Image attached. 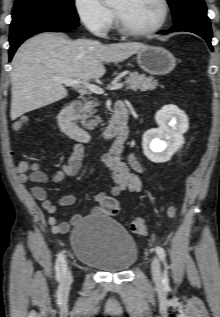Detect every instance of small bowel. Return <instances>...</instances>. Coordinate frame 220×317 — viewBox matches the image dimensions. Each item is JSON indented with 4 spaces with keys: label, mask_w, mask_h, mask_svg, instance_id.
Wrapping results in <instances>:
<instances>
[{
    "label": "small bowel",
    "mask_w": 220,
    "mask_h": 317,
    "mask_svg": "<svg viewBox=\"0 0 220 317\" xmlns=\"http://www.w3.org/2000/svg\"><path fill=\"white\" fill-rule=\"evenodd\" d=\"M123 146H118L113 143V146L104 153L100 160L105 167L106 172L114 180V188L112 196H118L127 191L130 193H139L142 190V182L140 175L144 172V168L137 158L135 153H131L128 161L121 159ZM84 157V145L81 142H76L72 153L66 163H64L53 175L49 176L39 169L37 163H29L22 161L17 166L19 180L23 183L33 182L40 184L59 183L65 177L76 176L81 167ZM31 193L34 198L41 204L43 210L48 214V224L51 230L55 233H66L72 224H77L82 219L79 214L74 215L70 222L58 223L55 212L59 207L71 206L76 202V196L67 194L62 196L57 203H53L47 197L46 190L39 185L31 187ZM110 195L106 193H98L94 196L97 203L92 209L93 215H101L103 211V203Z\"/></svg>",
    "instance_id": "small-bowel-1"
}]
</instances>
